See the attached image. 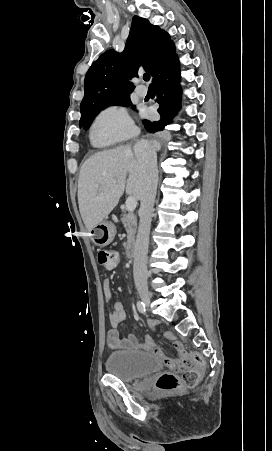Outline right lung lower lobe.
Returning <instances> with one entry per match:
<instances>
[{"label": "right lung lower lobe", "mask_w": 272, "mask_h": 451, "mask_svg": "<svg viewBox=\"0 0 272 451\" xmlns=\"http://www.w3.org/2000/svg\"><path fill=\"white\" fill-rule=\"evenodd\" d=\"M153 84L157 92L156 102L160 104L158 112L161 118L154 122L143 120L146 130L151 133L163 131L173 122L174 116L180 109L182 90L177 55L158 70L153 77Z\"/></svg>", "instance_id": "1"}]
</instances>
